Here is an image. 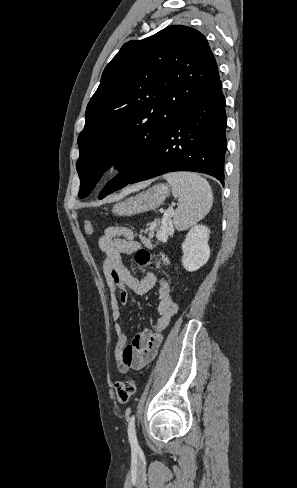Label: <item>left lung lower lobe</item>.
<instances>
[{"mask_svg":"<svg viewBox=\"0 0 297 488\" xmlns=\"http://www.w3.org/2000/svg\"><path fill=\"white\" fill-rule=\"evenodd\" d=\"M226 124L225 98L219 79L179 118L127 184L172 171H193L211 175L224 185Z\"/></svg>","mask_w":297,"mask_h":488,"instance_id":"0a47b994","label":"left lung lower lobe"}]
</instances>
